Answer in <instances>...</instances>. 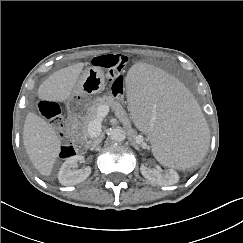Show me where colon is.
Segmentation results:
<instances>
[{
    "instance_id": "1",
    "label": "colon",
    "mask_w": 243,
    "mask_h": 243,
    "mask_svg": "<svg viewBox=\"0 0 243 243\" xmlns=\"http://www.w3.org/2000/svg\"><path fill=\"white\" fill-rule=\"evenodd\" d=\"M127 63L125 55H101L93 60V65L107 71V77L112 81V92L117 97H122L124 93V81L122 71ZM40 113L48 119L56 128L63 130L64 119L61 107L58 103L50 100H42L39 103ZM77 140L69 135L68 131L61 134L60 157L69 158L73 156L77 149Z\"/></svg>"
}]
</instances>
